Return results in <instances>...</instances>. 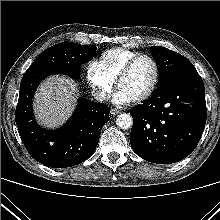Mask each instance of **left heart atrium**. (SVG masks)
<instances>
[{
	"label": "left heart atrium",
	"instance_id": "1",
	"mask_svg": "<svg viewBox=\"0 0 220 220\" xmlns=\"http://www.w3.org/2000/svg\"><path fill=\"white\" fill-rule=\"evenodd\" d=\"M112 100L114 103L118 105H124L132 102L134 99L126 93L123 89L117 88L112 96Z\"/></svg>",
	"mask_w": 220,
	"mask_h": 220
}]
</instances>
